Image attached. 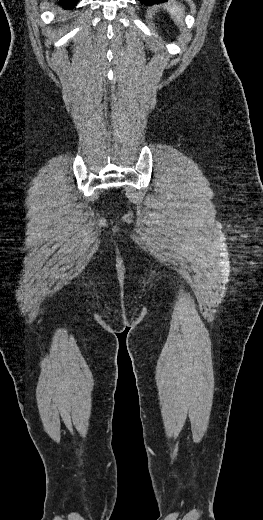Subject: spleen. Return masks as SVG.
Returning <instances> with one entry per match:
<instances>
[{
  "label": "spleen",
  "mask_w": 263,
  "mask_h": 520,
  "mask_svg": "<svg viewBox=\"0 0 263 520\" xmlns=\"http://www.w3.org/2000/svg\"><path fill=\"white\" fill-rule=\"evenodd\" d=\"M165 8L176 23H183L184 8L180 4L176 3L175 0H169L168 4L165 5Z\"/></svg>",
  "instance_id": "3e777b00"
}]
</instances>
